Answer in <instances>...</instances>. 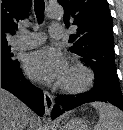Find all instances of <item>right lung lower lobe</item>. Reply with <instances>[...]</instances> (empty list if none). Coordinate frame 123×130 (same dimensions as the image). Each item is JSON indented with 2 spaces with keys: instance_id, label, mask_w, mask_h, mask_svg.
<instances>
[{
  "instance_id": "obj_1",
  "label": "right lung lower lobe",
  "mask_w": 123,
  "mask_h": 130,
  "mask_svg": "<svg viewBox=\"0 0 123 130\" xmlns=\"http://www.w3.org/2000/svg\"><path fill=\"white\" fill-rule=\"evenodd\" d=\"M1 88L14 94L39 116L44 114L43 91L23 76L19 62L14 65L1 61Z\"/></svg>"
}]
</instances>
